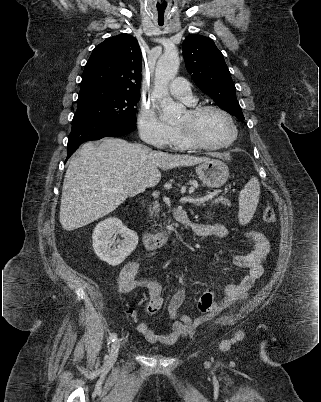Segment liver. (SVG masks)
Segmentation results:
<instances>
[{"mask_svg":"<svg viewBox=\"0 0 321 402\" xmlns=\"http://www.w3.org/2000/svg\"><path fill=\"white\" fill-rule=\"evenodd\" d=\"M205 157L153 151L120 138H104L96 146L82 145L66 171L60 223L72 231L114 211L128 197L161 180L158 168L168 170L208 161ZM119 189L113 192V189Z\"/></svg>","mask_w":321,"mask_h":402,"instance_id":"6515ba94","label":"liver"}]
</instances>
